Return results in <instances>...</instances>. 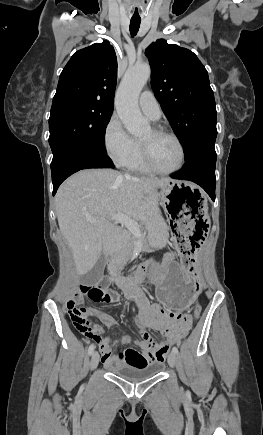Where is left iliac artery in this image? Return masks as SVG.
Here are the masks:
<instances>
[{
	"label": "left iliac artery",
	"mask_w": 263,
	"mask_h": 435,
	"mask_svg": "<svg viewBox=\"0 0 263 435\" xmlns=\"http://www.w3.org/2000/svg\"><path fill=\"white\" fill-rule=\"evenodd\" d=\"M172 351H173L174 353L178 354V348H177V347H173V348H172Z\"/></svg>",
	"instance_id": "44dca946"
}]
</instances>
